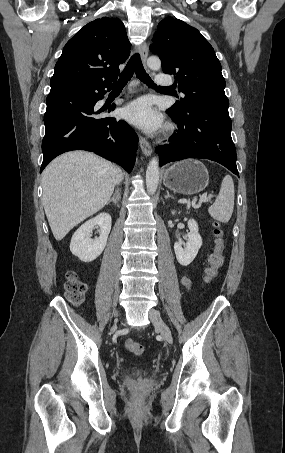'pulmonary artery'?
<instances>
[{
	"label": "pulmonary artery",
	"mask_w": 285,
	"mask_h": 453,
	"mask_svg": "<svg viewBox=\"0 0 285 453\" xmlns=\"http://www.w3.org/2000/svg\"><path fill=\"white\" fill-rule=\"evenodd\" d=\"M156 83L159 85H169L171 83V81L166 75L158 74L156 76Z\"/></svg>",
	"instance_id": "pulmonary-artery-1"
}]
</instances>
